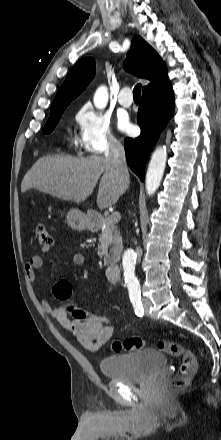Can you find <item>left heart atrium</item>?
I'll list each match as a JSON object with an SVG mask.
<instances>
[{"mask_svg":"<svg viewBox=\"0 0 221 440\" xmlns=\"http://www.w3.org/2000/svg\"><path fill=\"white\" fill-rule=\"evenodd\" d=\"M119 127H120V129H122L123 131H126V132H128L131 128L130 123L127 118H121L119 120Z\"/></svg>","mask_w":221,"mask_h":440,"instance_id":"1","label":"left heart atrium"}]
</instances>
